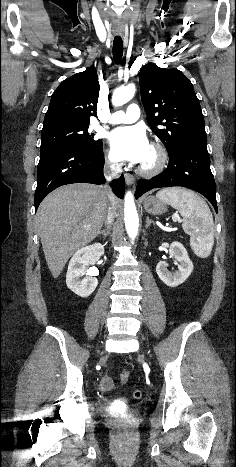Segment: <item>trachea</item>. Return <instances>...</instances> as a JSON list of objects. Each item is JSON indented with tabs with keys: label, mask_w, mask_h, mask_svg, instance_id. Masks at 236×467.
<instances>
[{
	"label": "trachea",
	"mask_w": 236,
	"mask_h": 467,
	"mask_svg": "<svg viewBox=\"0 0 236 467\" xmlns=\"http://www.w3.org/2000/svg\"><path fill=\"white\" fill-rule=\"evenodd\" d=\"M123 55V41L120 37H115L113 41V59L116 64L121 61Z\"/></svg>",
	"instance_id": "trachea-1"
}]
</instances>
